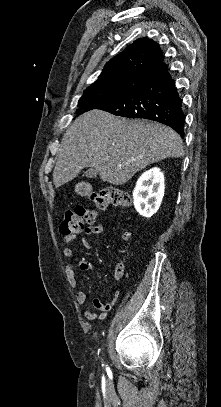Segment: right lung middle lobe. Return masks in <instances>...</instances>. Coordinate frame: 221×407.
<instances>
[{"mask_svg": "<svg viewBox=\"0 0 221 407\" xmlns=\"http://www.w3.org/2000/svg\"><path fill=\"white\" fill-rule=\"evenodd\" d=\"M137 84L127 88H106V87H92L87 88L84 94L79 99L77 111L80 113L89 111L91 109H98L111 102H114L121 97L127 95L134 89L138 88Z\"/></svg>", "mask_w": 221, "mask_h": 407, "instance_id": "1", "label": "right lung middle lobe"}]
</instances>
